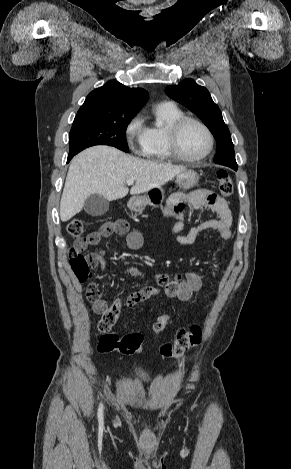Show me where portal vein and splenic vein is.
Masks as SVG:
<instances>
[{
  "mask_svg": "<svg viewBox=\"0 0 291 469\" xmlns=\"http://www.w3.org/2000/svg\"><path fill=\"white\" fill-rule=\"evenodd\" d=\"M134 183V180H128L127 185H132Z\"/></svg>",
  "mask_w": 291,
  "mask_h": 469,
  "instance_id": "1",
  "label": "portal vein and splenic vein"
}]
</instances>
